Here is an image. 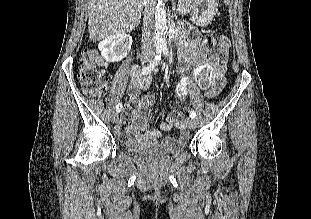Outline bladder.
Returning <instances> with one entry per match:
<instances>
[{
  "instance_id": "31cf9c89",
  "label": "bladder",
  "mask_w": 311,
  "mask_h": 219,
  "mask_svg": "<svg viewBox=\"0 0 311 219\" xmlns=\"http://www.w3.org/2000/svg\"><path fill=\"white\" fill-rule=\"evenodd\" d=\"M124 147L127 151L137 154H157L164 157H171L179 154L183 148V143H178L172 147H157L155 144L145 146L138 145L136 142H126Z\"/></svg>"
}]
</instances>
